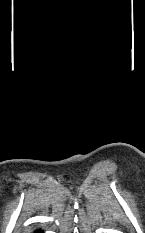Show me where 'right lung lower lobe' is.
Listing matches in <instances>:
<instances>
[{
	"label": "right lung lower lobe",
	"instance_id": "98d812e1",
	"mask_svg": "<svg viewBox=\"0 0 145 233\" xmlns=\"http://www.w3.org/2000/svg\"><path fill=\"white\" fill-rule=\"evenodd\" d=\"M35 233H43V231L41 229H37L35 230Z\"/></svg>",
	"mask_w": 145,
	"mask_h": 233
}]
</instances>
